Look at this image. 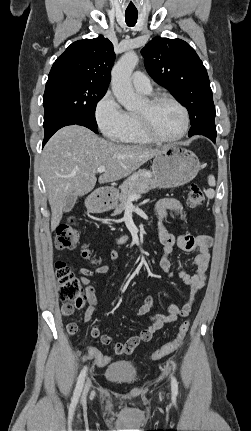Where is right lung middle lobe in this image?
I'll return each mask as SVG.
<instances>
[{"instance_id": "dd1d6c3e", "label": "right lung middle lobe", "mask_w": 251, "mask_h": 431, "mask_svg": "<svg viewBox=\"0 0 251 431\" xmlns=\"http://www.w3.org/2000/svg\"><path fill=\"white\" fill-rule=\"evenodd\" d=\"M108 87L68 75L48 77L43 96L44 124L60 118L75 117L97 127L95 109Z\"/></svg>"}]
</instances>
